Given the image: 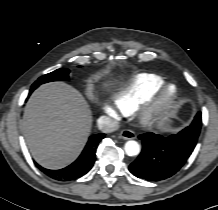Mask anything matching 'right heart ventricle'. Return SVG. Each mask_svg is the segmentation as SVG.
<instances>
[{
  "label": "right heart ventricle",
  "mask_w": 218,
  "mask_h": 210,
  "mask_svg": "<svg viewBox=\"0 0 218 210\" xmlns=\"http://www.w3.org/2000/svg\"><path fill=\"white\" fill-rule=\"evenodd\" d=\"M163 85L164 79L159 75L138 74L116 94L115 103L124 114H129L152 99Z\"/></svg>",
  "instance_id": "1"
}]
</instances>
